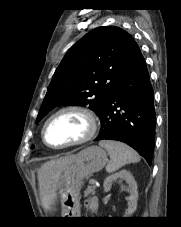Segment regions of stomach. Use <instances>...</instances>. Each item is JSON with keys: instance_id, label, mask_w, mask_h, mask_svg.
I'll return each mask as SVG.
<instances>
[{"instance_id": "stomach-1", "label": "stomach", "mask_w": 181, "mask_h": 227, "mask_svg": "<svg viewBox=\"0 0 181 227\" xmlns=\"http://www.w3.org/2000/svg\"><path fill=\"white\" fill-rule=\"evenodd\" d=\"M107 153L99 146L80 151L62 174L60 197L62 217H77L80 209V189L83 180L100 171L107 163Z\"/></svg>"}]
</instances>
